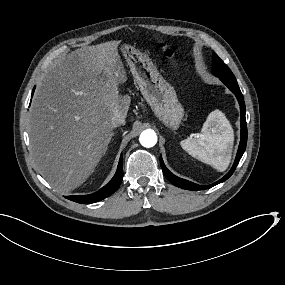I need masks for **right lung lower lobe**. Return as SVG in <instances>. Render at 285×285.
<instances>
[{
  "instance_id": "right-lung-lower-lobe-1",
  "label": "right lung lower lobe",
  "mask_w": 285,
  "mask_h": 285,
  "mask_svg": "<svg viewBox=\"0 0 285 285\" xmlns=\"http://www.w3.org/2000/svg\"><path fill=\"white\" fill-rule=\"evenodd\" d=\"M35 89V88H34ZM33 89V92H34ZM32 92V95H33ZM123 179V163H122V155L119 160L117 171L114 177L110 180V182L102 187L99 191L89 194V195H80V196H66L67 199L81 203V204H89L94 203L113 194L120 186Z\"/></svg>"
}]
</instances>
